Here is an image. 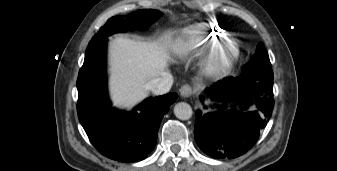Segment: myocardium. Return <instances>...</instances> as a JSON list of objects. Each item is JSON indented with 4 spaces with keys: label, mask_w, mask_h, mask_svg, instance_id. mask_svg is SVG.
<instances>
[{
    "label": "myocardium",
    "mask_w": 337,
    "mask_h": 171,
    "mask_svg": "<svg viewBox=\"0 0 337 171\" xmlns=\"http://www.w3.org/2000/svg\"><path fill=\"white\" fill-rule=\"evenodd\" d=\"M227 51L223 55V52ZM240 56V45L234 38H224L212 44L204 53L200 65L205 76L220 78L227 74Z\"/></svg>",
    "instance_id": "obj_1"
}]
</instances>
